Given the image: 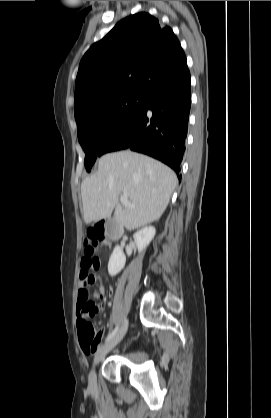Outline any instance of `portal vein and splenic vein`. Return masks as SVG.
Wrapping results in <instances>:
<instances>
[{
	"label": "portal vein and splenic vein",
	"instance_id": "portal-vein-and-splenic-vein-1",
	"mask_svg": "<svg viewBox=\"0 0 271 418\" xmlns=\"http://www.w3.org/2000/svg\"><path fill=\"white\" fill-rule=\"evenodd\" d=\"M120 202H121V204H123V205H127V206H133L129 201H128V198H127V196H125V195H122L121 197H120Z\"/></svg>",
	"mask_w": 271,
	"mask_h": 418
}]
</instances>
